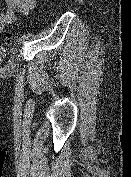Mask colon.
Here are the masks:
<instances>
[{
	"label": "colon",
	"mask_w": 131,
	"mask_h": 177,
	"mask_svg": "<svg viewBox=\"0 0 131 177\" xmlns=\"http://www.w3.org/2000/svg\"><path fill=\"white\" fill-rule=\"evenodd\" d=\"M13 40V35L8 33L5 35L3 42L0 44V63L5 59L8 46L11 44Z\"/></svg>",
	"instance_id": "1"
}]
</instances>
